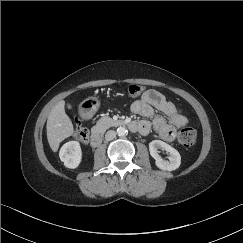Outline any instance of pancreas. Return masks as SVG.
I'll list each match as a JSON object with an SVG mask.
<instances>
[{"label":"pancreas","instance_id":"cf45deb5","mask_svg":"<svg viewBox=\"0 0 243 243\" xmlns=\"http://www.w3.org/2000/svg\"><path fill=\"white\" fill-rule=\"evenodd\" d=\"M114 125H115V121L112 118L105 116V117L100 118L97 121L94 129L102 133L106 129H108Z\"/></svg>","mask_w":243,"mask_h":243}]
</instances>
